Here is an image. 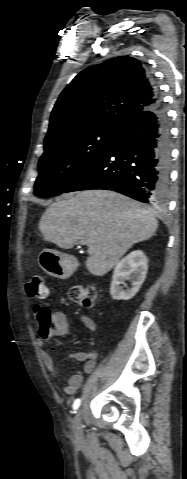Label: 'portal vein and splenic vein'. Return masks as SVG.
Wrapping results in <instances>:
<instances>
[{"mask_svg":"<svg viewBox=\"0 0 187 479\" xmlns=\"http://www.w3.org/2000/svg\"><path fill=\"white\" fill-rule=\"evenodd\" d=\"M80 244H81V245H86V244H87V242H86V241H84V240H82V241H80Z\"/></svg>","mask_w":187,"mask_h":479,"instance_id":"portal-vein-and-splenic-vein-1","label":"portal vein and splenic vein"}]
</instances>
